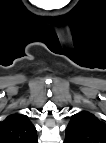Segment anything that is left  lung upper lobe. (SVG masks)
<instances>
[{
    "label": "left lung upper lobe",
    "mask_w": 106,
    "mask_h": 143,
    "mask_svg": "<svg viewBox=\"0 0 106 143\" xmlns=\"http://www.w3.org/2000/svg\"><path fill=\"white\" fill-rule=\"evenodd\" d=\"M66 134L73 143H106V123L82 111L71 117Z\"/></svg>",
    "instance_id": "left-lung-upper-lobe-1"
}]
</instances>
